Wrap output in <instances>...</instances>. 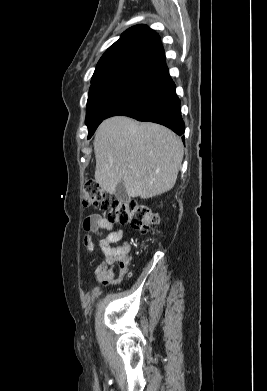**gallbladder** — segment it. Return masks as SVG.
<instances>
[{
  "label": "gallbladder",
  "instance_id": "obj_1",
  "mask_svg": "<svg viewBox=\"0 0 267 391\" xmlns=\"http://www.w3.org/2000/svg\"><path fill=\"white\" fill-rule=\"evenodd\" d=\"M115 197L118 201L126 202L129 200V196L127 194L126 188L123 182H119L116 186Z\"/></svg>",
  "mask_w": 267,
  "mask_h": 391
}]
</instances>
